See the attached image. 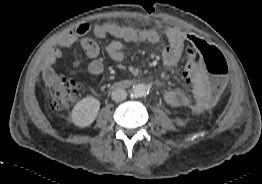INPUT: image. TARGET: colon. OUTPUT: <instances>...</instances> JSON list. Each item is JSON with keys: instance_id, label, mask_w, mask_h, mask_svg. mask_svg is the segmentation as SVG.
I'll list each match as a JSON object with an SVG mask.
<instances>
[{"instance_id": "5ec220e1", "label": "colon", "mask_w": 262, "mask_h": 184, "mask_svg": "<svg viewBox=\"0 0 262 184\" xmlns=\"http://www.w3.org/2000/svg\"><path fill=\"white\" fill-rule=\"evenodd\" d=\"M193 46L198 60L208 73L207 88L211 103H216L222 96L228 77V65L218 48L202 39H194ZM50 105L53 109L71 106L79 96V84L64 75L54 76L49 84Z\"/></svg>"}]
</instances>
